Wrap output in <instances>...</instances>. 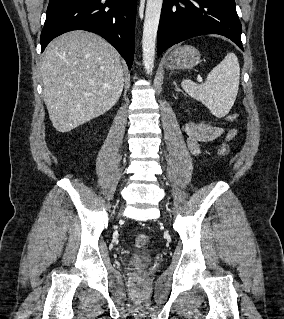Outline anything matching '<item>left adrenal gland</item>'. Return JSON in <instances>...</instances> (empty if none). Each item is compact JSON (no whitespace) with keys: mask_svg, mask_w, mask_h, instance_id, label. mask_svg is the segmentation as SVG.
<instances>
[{"mask_svg":"<svg viewBox=\"0 0 284 319\" xmlns=\"http://www.w3.org/2000/svg\"><path fill=\"white\" fill-rule=\"evenodd\" d=\"M174 85H175L176 90H178V87H177V85H176V83H175V82H174Z\"/></svg>","mask_w":284,"mask_h":319,"instance_id":"a2214340","label":"left adrenal gland"}]
</instances>
